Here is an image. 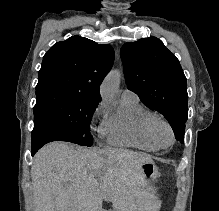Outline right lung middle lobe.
<instances>
[{"label": "right lung middle lobe", "instance_id": "1", "mask_svg": "<svg viewBox=\"0 0 219 211\" xmlns=\"http://www.w3.org/2000/svg\"><path fill=\"white\" fill-rule=\"evenodd\" d=\"M99 102L59 91L36 94L32 133L61 132L78 138L79 145L92 146L90 122Z\"/></svg>", "mask_w": 219, "mask_h": 211}]
</instances>
